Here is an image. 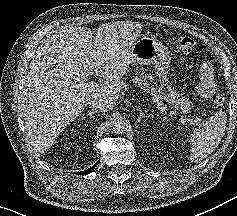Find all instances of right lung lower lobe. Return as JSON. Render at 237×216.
<instances>
[{"label":"right lung lower lobe","mask_w":237,"mask_h":216,"mask_svg":"<svg viewBox=\"0 0 237 216\" xmlns=\"http://www.w3.org/2000/svg\"><path fill=\"white\" fill-rule=\"evenodd\" d=\"M98 163H99V161L94 166L90 167L89 169L81 171V172H77V174H79V175H87V174L91 173Z\"/></svg>","instance_id":"obj_1"}]
</instances>
